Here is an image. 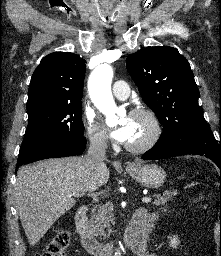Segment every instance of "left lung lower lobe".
Wrapping results in <instances>:
<instances>
[{"label": "left lung lower lobe", "mask_w": 221, "mask_h": 256, "mask_svg": "<svg viewBox=\"0 0 221 256\" xmlns=\"http://www.w3.org/2000/svg\"><path fill=\"white\" fill-rule=\"evenodd\" d=\"M186 154L203 155L216 163L221 170V141H216L210 126L203 130H178L173 135L160 137L142 159H165Z\"/></svg>", "instance_id": "1"}]
</instances>
